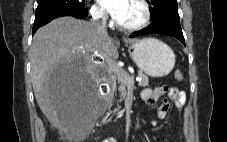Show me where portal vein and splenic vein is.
<instances>
[{"label":"portal vein and splenic vein","mask_w":227,"mask_h":142,"mask_svg":"<svg viewBox=\"0 0 227 142\" xmlns=\"http://www.w3.org/2000/svg\"><path fill=\"white\" fill-rule=\"evenodd\" d=\"M116 74L119 78L124 79V81L128 84L129 87H132L134 85V78L127 77L122 73L121 70L117 69ZM137 81H141V78H138Z\"/></svg>","instance_id":"obj_1"}]
</instances>
